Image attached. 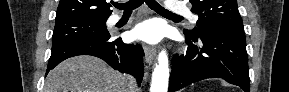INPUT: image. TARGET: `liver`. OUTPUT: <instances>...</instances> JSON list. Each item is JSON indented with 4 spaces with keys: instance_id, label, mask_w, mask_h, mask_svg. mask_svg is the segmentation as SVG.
I'll return each instance as SVG.
<instances>
[{
    "instance_id": "1",
    "label": "liver",
    "mask_w": 289,
    "mask_h": 92,
    "mask_svg": "<svg viewBox=\"0 0 289 92\" xmlns=\"http://www.w3.org/2000/svg\"><path fill=\"white\" fill-rule=\"evenodd\" d=\"M124 75L92 56H77L60 63L47 76L44 92H136Z\"/></svg>"
}]
</instances>
